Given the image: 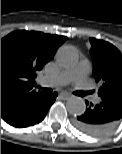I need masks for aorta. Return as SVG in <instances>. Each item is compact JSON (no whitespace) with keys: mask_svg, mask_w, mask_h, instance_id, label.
Returning <instances> with one entry per match:
<instances>
[{"mask_svg":"<svg viewBox=\"0 0 122 154\" xmlns=\"http://www.w3.org/2000/svg\"><path fill=\"white\" fill-rule=\"evenodd\" d=\"M78 51L73 46H62L56 54L57 63L64 68H71L78 62ZM66 108L72 115H81L86 110L85 101L77 96L70 97L66 102Z\"/></svg>","mask_w":122,"mask_h":154,"instance_id":"obj_1","label":"aorta"}]
</instances>
